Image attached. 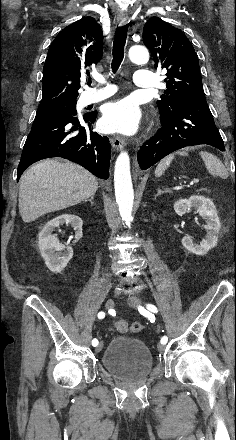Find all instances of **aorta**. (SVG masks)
I'll list each match as a JSON object with an SVG mask.
<instances>
[{"label":"aorta","instance_id":"obj_1","mask_svg":"<svg viewBox=\"0 0 236 440\" xmlns=\"http://www.w3.org/2000/svg\"><path fill=\"white\" fill-rule=\"evenodd\" d=\"M129 59L135 64H145L149 60L148 50L141 45L132 46L128 52ZM114 188L119 213L126 225L130 226L134 191L130 174V158L127 152L117 157L114 170Z\"/></svg>","mask_w":236,"mask_h":440}]
</instances>
